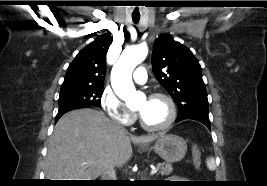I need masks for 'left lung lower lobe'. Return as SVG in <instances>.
Here are the masks:
<instances>
[{
	"mask_svg": "<svg viewBox=\"0 0 267 186\" xmlns=\"http://www.w3.org/2000/svg\"><path fill=\"white\" fill-rule=\"evenodd\" d=\"M185 119H193V120L199 121V122L203 123L204 125H206L210 129L209 117H206V116H184V117L178 118L177 120L182 121Z\"/></svg>",
	"mask_w": 267,
	"mask_h": 186,
	"instance_id": "0a47b994",
	"label": "left lung lower lobe"
}]
</instances>
